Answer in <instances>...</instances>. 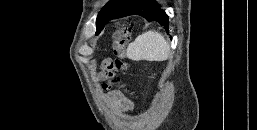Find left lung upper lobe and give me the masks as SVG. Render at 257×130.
<instances>
[{
  "instance_id": "left-lung-upper-lobe-1",
  "label": "left lung upper lobe",
  "mask_w": 257,
  "mask_h": 130,
  "mask_svg": "<svg viewBox=\"0 0 257 130\" xmlns=\"http://www.w3.org/2000/svg\"><path fill=\"white\" fill-rule=\"evenodd\" d=\"M129 0H110L101 10L97 16L96 27L97 29H102L107 22V18L112 14V12L119 7L125 5Z\"/></svg>"
}]
</instances>
